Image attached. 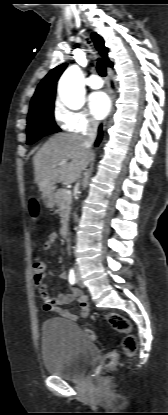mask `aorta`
Returning <instances> with one entry per match:
<instances>
[{
	"mask_svg": "<svg viewBox=\"0 0 168 415\" xmlns=\"http://www.w3.org/2000/svg\"><path fill=\"white\" fill-rule=\"evenodd\" d=\"M82 79L81 69L78 66H71L59 80V97L64 105L70 109H80L85 103V90L82 86Z\"/></svg>",
	"mask_w": 168,
	"mask_h": 415,
	"instance_id": "1",
	"label": "aorta"
}]
</instances>
